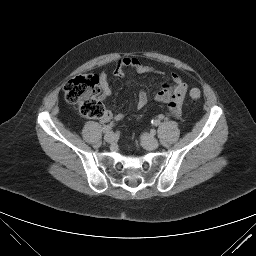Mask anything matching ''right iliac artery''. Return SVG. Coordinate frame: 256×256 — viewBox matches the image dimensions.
<instances>
[{"instance_id":"obj_1","label":"right iliac artery","mask_w":256,"mask_h":256,"mask_svg":"<svg viewBox=\"0 0 256 256\" xmlns=\"http://www.w3.org/2000/svg\"><path fill=\"white\" fill-rule=\"evenodd\" d=\"M114 127V123H110L105 125L102 129L103 133H108Z\"/></svg>"}]
</instances>
